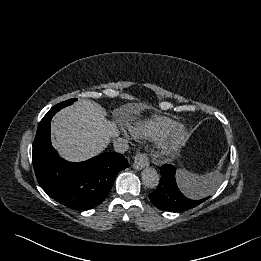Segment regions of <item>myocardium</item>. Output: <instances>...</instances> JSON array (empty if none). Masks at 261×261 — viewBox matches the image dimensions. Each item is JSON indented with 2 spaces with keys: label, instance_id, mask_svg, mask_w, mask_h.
Here are the masks:
<instances>
[{
  "label": "myocardium",
  "instance_id": "f54148a6",
  "mask_svg": "<svg viewBox=\"0 0 261 261\" xmlns=\"http://www.w3.org/2000/svg\"><path fill=\"white\" fill-rule=\"evenodd\" d=\"M187 130L179 125L174 131L166 136L160 143L159 148L162 154H170L176 150L185 140Z\"/></svg>",
  "mask_w": 261,
  "mask_h": 261
}]
</instances>
